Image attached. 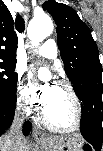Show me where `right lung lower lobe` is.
<instances>
[{"instance_id": "obj_1", "label": "right lung lower lobe", "mask_w": 103, "mask_h": 151, "mask_svg": "<svg viewBox=\"0 0 103 151\" xmlns=\"http://www.w3.org/2000/svg\"><path fill=\"white\" fill-rule=\"evenodd\" d=\"M15 104L0 101V135H2L12 124L15 114ZM30 132V123L26 122L23 127L24 135Z\"/></svg>"}]
</instances>
